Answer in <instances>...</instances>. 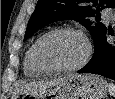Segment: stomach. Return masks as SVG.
<instances>
[{
	"label": "stomach",
	"instance_id": "obj_1",
	"mask_svg": "<svg viewBox=\"0 0 115 99\" xmlns=\"http://www.w3.org/2000/svg\"><path fill=\"white\" fill-rule=\"evenodd\" d=\"M107 91V82L99 76L73 75L54 87L25 93L22 99H102Z\"/></svg>",
	"mask_w": 115,
	"mask_h": 99
}]
</instances>
